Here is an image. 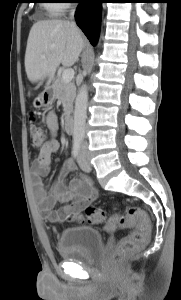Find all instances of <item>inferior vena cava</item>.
<instances>
[{"instance_id":"inferior-vena-cava-1","label":"inferior vena cava","mask_w":181,"mask_h":300,"mask_svg":"<svg viewBox=\"0 0 181 300\" xmlns=\"http://www.w3.org/2000/svg\"><path fill=\"white\" fill-rule=\"evenodd\" d=\"M74 13H75V9H73L70 13V18H73L74 17Z\"/></svg>"}]
</instances>
